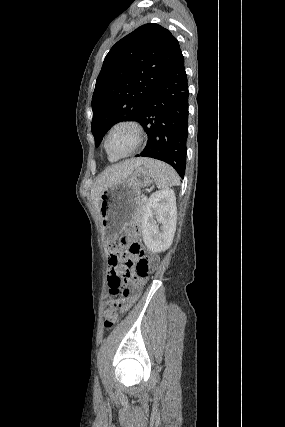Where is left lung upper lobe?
<instances>
[{
  "label": "left lung upper lobe",
  "instance_id": "obj_1",
  "mask_svg": "<svg viewBox=\"0 0 285 427\" xmlns=\"http://www.w3.org/2000/svg\"><path fill=\"white\" fill-rule=\"evenodd\" d=\"M181 54L179 42L158 24H145L106 55L92 97L95 145L116 123L138 121L158 84Z\"/></svg>",
  "mask_w": 285,
  "mask_h": 427
}]
</instances>
